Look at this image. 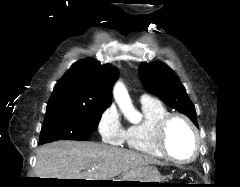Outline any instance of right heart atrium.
Segmentation results:
<instances>
[{
    "instance_id": "obj_1",
    "label": "right heart atrium",
    "mask_w": 240,
    "mask_h": 187,
    "mask_svg": "<svg viewBox=\"0 0 240 187\" xmlns=\"http://www.w3.org/2000/svg\"><path fill=\"white\" fill-rule=\"evenodd\" d=\"M97 130L102 142L106 144L119 146L125 142L126 130L114 106L103 111L97 122Z\"/></svg>"
}]
</instances>
